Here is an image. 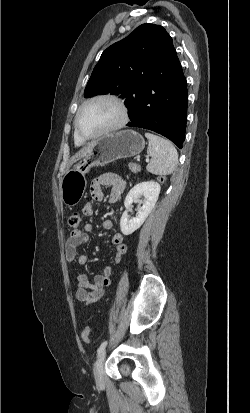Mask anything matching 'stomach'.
Listing matches in <instances>:
<instances>
[{"mask_svg":"<svg viewBox=\"0 0 250 413\" xmlns=\"http://www.w3.org/2000/svg\"><path fill=\"white\" fill-rule=\"evenodd\" d=\"M93 143L90 152L67 171L61 180V199L68 207L75 206L81 200L87 186L86 174L92 167L136 156L145 146L144 138L133 130L109 133Z\"/></svg>","mask_w":250,"mask_h":413,"instance_id":"0dacf381","label":"stomach"}]
</instances>
